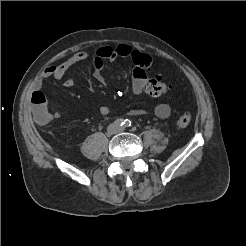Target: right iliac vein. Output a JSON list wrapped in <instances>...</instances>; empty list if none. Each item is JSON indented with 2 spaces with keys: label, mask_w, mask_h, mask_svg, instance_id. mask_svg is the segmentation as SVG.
I'll return each instance as SVG.
<instances>
[{
  "label": "right iliac vein",
  "mask_w": 246,
  "mask_h": 246,
  "mask_svg": "<svg viewBox=\"0 0 246 246\" xmlns=\"http://www.w3.org/2000/svg\"><path fill=\"white\" fill-rule=\"evenodd\" d=\"M107 131H108V133H109L110 135H112V134H115V133H116L117 128H116L114 125H110V126L108 127Z\"/></svg>",
  "instance_id": "63e3f726"
}]
</instances>
